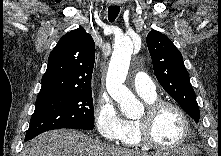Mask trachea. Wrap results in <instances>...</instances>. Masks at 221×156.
I'll return each instance as SVG.
<instances>
[{
  "label": "trachea",
  "instance_id": "1",
  "mask_svg": "<svg viewBox=\"0 0 221 156\" xmlns=\"http://www.w3.org/2000/svg\"><path fill=\"white\" fill-rule=\"evenodd\" d=\"M120 12L119 6H109L108 7V20L114 22Z\"/></svg>",
  "mask_w": 221,
  "mask_h": 156
}]
</instances>
